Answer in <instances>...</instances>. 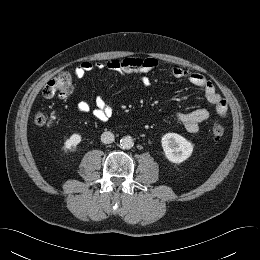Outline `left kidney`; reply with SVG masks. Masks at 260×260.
Wrapping results in <instances>:
<instances>
[{"mask_svg":"<svg viewBox=\"0 0 260 260\" xmlns=\"http://www.w3.org/2000/svg\"><path fill=\"white\" fill-rule=\"evenodd\" d=\"M166 158L172 163H181L193 152V145L177 133H166L161 139Z\"/></svg>","mask_w":260,"mask_h":260,"instance_id":"obj_1","label":"left kidney"}]
</instances>
